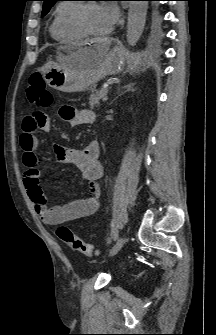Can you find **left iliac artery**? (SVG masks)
<instances>
[{"label": "left iliac artery", "instance_id": "1", "mask_svg": "<svg viewBox=\"0 0 216 335\" xmlns=\"http://www.w3.org/2000/svg\"><path fill=\"white\" fill-rule=\"evenodd\" d=\"M111 238L113 241H117L119 238V229L117 226H113L111 229Z\"/></svg>", "mask_w": 216, "mask_h": 335}]
</instances>
